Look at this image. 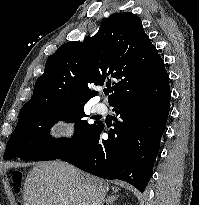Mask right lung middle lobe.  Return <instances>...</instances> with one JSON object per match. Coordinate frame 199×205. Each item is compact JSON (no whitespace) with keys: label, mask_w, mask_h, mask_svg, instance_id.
<instances>
[{"label":"right lung middle lobe","mask_w":199,"mask_h":205,"mask_svg":"<svg viewBox=\"0 0 199 205\" xmlns=\"http://www.w3.org/2000/svg\"><path fill=\"white\" fill-rule=\"evenodd\" d=\"M85 104L41 102L24 105L18 124L11 135L4 160L19 157L26 160H55L77 153L86 146L100 126V121L89 124ZM58 121L75 123L72 139H55L49 130Z\"/></svg>","instance_id":"right-lung-middle-lobe-1"}]
</instances>
